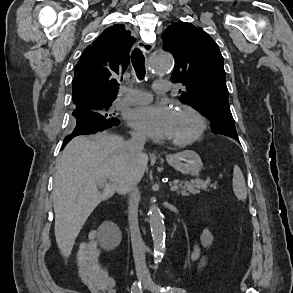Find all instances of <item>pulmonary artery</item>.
<instances>
[{
  "label": "pulmonary artery",
  "instance_id": "obj_1",
  "mask_svg": "<svg viewBox=\"0 0 293 293\" xmlns=\"http://www.w3.org/2000/svg\"><path fill=\"white\" fill-rule=\"evenodd\" d=\"M153 88L157 94H164L171 89V84L167 80H159L154 83ZM121 93L125 104H145L152 98L150 93L139 89L123 88Z\"/></svg>",
  "mask_w": 293,
  "mask_h": 293
}]
</instances>
